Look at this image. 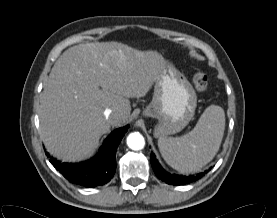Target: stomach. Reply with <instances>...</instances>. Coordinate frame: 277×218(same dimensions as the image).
Masks as SVG:
<instances>
[{"mask_svg":"<svg viewBox=\"0 0 277 218\" xmlns=\"http://www.w3.org/2000/svg\"><path fill=\"white\" fill-rule=\"evenodd\" d=\"M197 106V95L187 80L171 63L155 81L151 103L143 115L158 120L155 137H165L180 132L192 120Z\"/></svg>","mask_w":277,"mask_h":218,"instance_id":"stomach-1","label":"stomach"}]
</instances>
